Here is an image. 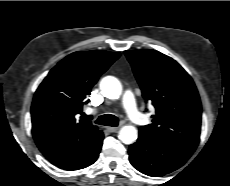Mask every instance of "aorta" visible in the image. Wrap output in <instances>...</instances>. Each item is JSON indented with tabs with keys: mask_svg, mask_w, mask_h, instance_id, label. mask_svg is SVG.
Returning a JSON list of instances; mask_svg holds the SVG:
<instances>
[{
	"mask_svg": "<svg viewBox=\"0 0 230 186\" xmlns=\"http://www.w3.org/2000/svg\"><path fill=\"white\" fill-rule=\"evenodd\" d=\"M102 94L109 99H117L122 93L120 81L113 76H106L100 82ZM137 129L132 125L123 126L119 131V139L124 144H132L137 139Z\"/></svg>",
	"mask_w": 230,
	"mask_h": 186,
	"instance_id": "aorta-1",
	"label": "aorta"
}]
</instances>
